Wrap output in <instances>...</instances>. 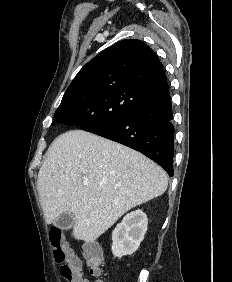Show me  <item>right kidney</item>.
Wrapping results in <instances>:
<instances>
[{
  "mask_svg": "<svg viewBox=\"0 0 232 282\" xmlns=\"http://www.w3.org/2000/svg\"><path fill=\"white\" fill-rule=\"evenodd\" d=\"M148 219L142 210L127 214L112 232V253L121 258L131 255L140 246L147 231Z\"/></svg>",
  "mask_w": 232,
  "mask_h": 282,
  "instance_id": "1",
  "label": "right kidney"
}]
</instances>
